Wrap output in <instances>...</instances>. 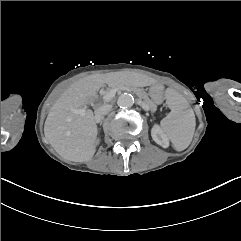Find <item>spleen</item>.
<instances>
[{
	"label": "spleen",
	"instance_id": "3e777b00",
	"mask_svg": "<svg viewBox=\"0 0 241 241\" xmlns=\"http://www.w3.org/2000/svg\"><path fill=\"white\" fill-rule=\"evenodd\" d=\"M167 104L171 112L161 120L164 133L177 151L186 149L195 131V115L189 102L173 89L166 92Z\"/></svg>",
	"mask_w": 241,
	"mask_h": 241
}]
</instances>
